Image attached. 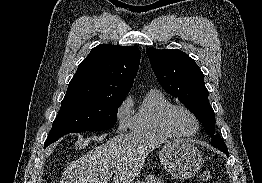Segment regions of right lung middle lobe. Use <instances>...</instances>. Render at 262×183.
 Listing matches in <instances>:
<instances>
[{
    "mask_svg": "<svg viewBox=\"0 0 262 183\" xmlns=\"http://www.w3.org/2000/svg\"><path fill=\"white\" fill-rule=\"evenodd\" d=\"M124 99L87 93L66 94L45 144H51L69 133L112 128Z\"/></svg>",
    "mask_w": 262,
    "mask_h": 183,
    "instance_id": "obj_1",
    "label": "right lung middle lobe"
}]
</instances>
